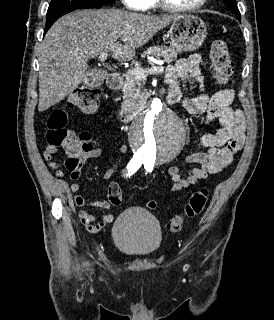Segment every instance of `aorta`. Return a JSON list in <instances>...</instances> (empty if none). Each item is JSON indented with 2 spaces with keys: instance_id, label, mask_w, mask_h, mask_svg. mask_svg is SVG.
Returning a JSON list of instances; mask_svg holds the SVG:
<instances>
[{
  "instance_id": "762f6f07",
  "label": "aorta",
  "mask_w": 274,
  "mask_h": 320,
  "mask_svg": "<svg viewBox=\"0 0 274 320\" xmlns=\"http://www.w3.org/2000/svg\"><path fill=\"white\" fill-rule=\"evenodd\" d=\"M185 132L178 116L158 98L153 99L148 111L132 124L130 142L141 158L154 163L173 160L181 151Z\"/></svg>"
}]
</instances>
